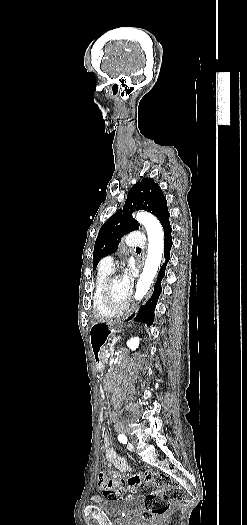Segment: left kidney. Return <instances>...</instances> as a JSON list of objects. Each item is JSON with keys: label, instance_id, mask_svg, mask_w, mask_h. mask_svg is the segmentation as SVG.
I'll use <instances>...</instances> for the list:
<instances>
[{"label": "left kidney", "instance_id": "1", "mask_svg": "<svg viewBox=\"0 0 247 525\" xmlns=\"http://www.w3.org/2000/svg\"><path fill=\"white\" fill-rule=\"evenodd\" d=\"M140 341L141 339H139V337H131V339L127 341L126 345L129 347V349H131V351H136L140 345Z\"/></svg>", "mask_w": 247, "mask_h": 525}]
</instances>
